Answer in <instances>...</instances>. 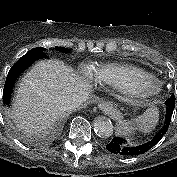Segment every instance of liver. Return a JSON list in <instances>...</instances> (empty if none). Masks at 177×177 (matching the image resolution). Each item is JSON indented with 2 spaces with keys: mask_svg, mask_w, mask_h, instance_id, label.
Instances as JSON below:
<instances>
[{
  "mask_svg": "<svg viewBox=\"0 0 177 177\" xmlns=\"http://www.w3.org/2000/svg\"><path fill=\"white\" fill-rule=\"evenodd\" d=\"M91 86L63 62L38 61L18 84L10 117L24 134L45 132L63 118L61 100L74 94H89Z\"/></svg>",
  "mask_w": 177,
  "mask_h": 177,
  "instance_id": "1",
  "label": "liver"
}]
</instances>
